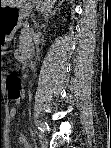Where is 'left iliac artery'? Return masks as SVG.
Masks as SVG:
<instances>
[{
  "mask_svg": "<svg viewBox=\"0 0 111 148\" xmlns=\"http://www.w3.org/2000/svg\"><path fill=\"white\" fill-rule=\"evenodd\" d=\"M41 124L39 123V121H36V126H40ZM40 130H42L41 129V127H38Z\"/></svg>",
  "mask_w": 111,
  "mask_h": 148,
  "instance_id": "obj_1",
  "label": "left iliac artery"
}]
</instances>
